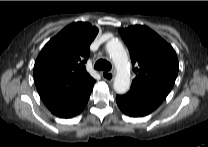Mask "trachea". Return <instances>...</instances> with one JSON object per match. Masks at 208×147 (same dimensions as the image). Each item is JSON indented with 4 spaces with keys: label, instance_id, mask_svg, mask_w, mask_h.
Listing matches in <instances>:
<instances>
[{
    "label": "trachea",
    "instance_id": "trachea-1",
    "mask_svg": "<svg viewBox=\"0 0 208 147\" xmlns=\"http://www.w3.org/2000/svg\"><path fill=\"white\" fill-rule=\"evenodd\" d=\"M111 68H112L111 63L104 59L98 60L94 65V69L96 70L110 71Z\"/></svg>",
    "mask_w": 208,
    "mask_h": 147
}]
</instances>
